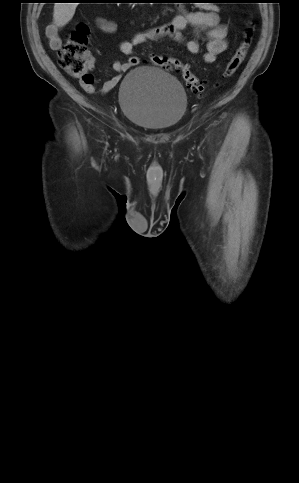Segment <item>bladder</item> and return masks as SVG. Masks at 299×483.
I'll return each instance as SVG.
<instances>
[{"label":"bladder","mask_w":299,"mask_h":483,"mask_svg":"<svg viewBox=\"0 0 299 483\" xmlns=\"http://www.w3.org/2000/svg\"><path fill=\"white\" fill-rule=\"evenodd\" d=\"M118 101L125 118L149 130L176 126L188 108L181 82L153 66H137L122 79Z\"/></svg>","instance_id":"1"}]
</instances>
